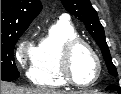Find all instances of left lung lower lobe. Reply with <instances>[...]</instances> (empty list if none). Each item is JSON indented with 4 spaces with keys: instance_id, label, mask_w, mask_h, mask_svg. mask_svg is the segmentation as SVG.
Masks as SVG:
<instances>
[{
    "instance_id": "left-lung-lower-lobe-1",
    "label": "left lung lower lobe",
    "mask_w": 121,
    "mask_h": 94,
    "mask_svg": "<svg viewBox=\"0 0 121 94\" xmlns=\"http://www.w3.org/2000/svg\"><path fill=\"white\" fill-rule=\"evenodd\" d=\"M106 90H116L118 91L119 94H121V87L117 85H110L109 87L106 88Z\"/></svg>"
}]
</instances>
